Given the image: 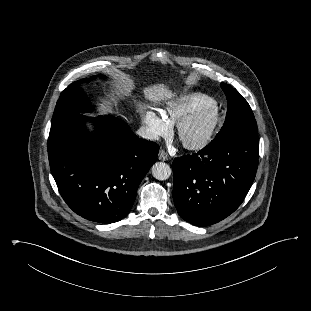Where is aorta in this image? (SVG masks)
<instances>
[{
  "label": "aorta",
  "instance_id": "obj_1",
  "mask_svg": "<svg viewBox=\"0 0 311 311\" xmlns=\"http://www.w3.org/2000/svg\"><path fill=\"white\" fill-rule=\"evenodd\" d=\"M152 175L157 180H166L171 176V168L164 162H157L152 166Z\"/></svg>",
  "mask_w": 311,
  "mask_h": 311
}]
</instances>
